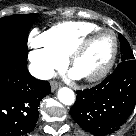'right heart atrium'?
<instances>
[{"label": "right heart atrium", "instance_id": "1", "mask_svg": "<svg viewBox=\"0 0 136 136\" xmlns=\"http://www.w3.org/2000/svg\"><path fill=\"white\" fill-rule=\"evenodd\" d=\"M29 47V60L33 73L37 77H47L54 68L61 66L65 60V56L47 42L44 33L37 30H33L29 35Z\"/></svg>", "mask_w": 136, "mask_h": 136}]
</instances>
